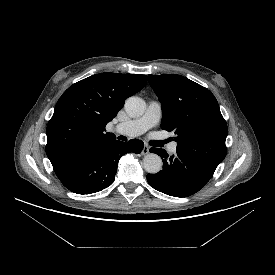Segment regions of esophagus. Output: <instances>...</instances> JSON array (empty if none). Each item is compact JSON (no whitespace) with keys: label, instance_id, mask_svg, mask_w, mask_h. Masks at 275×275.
Instances as JSON below:
<instances>
[{"label":"esophagus","instance_id":"1","mask_svg":"<svg viewBox=\"0 0 275 275\" xmlns=\"http://www.w3.org/2000/svg\"><path fill=\"white\" fill-rule=\"evenodd\" d=\"M149 146L144 145L143 149H142V154L143 155H147L149 153Z\"/></svg>","mask_w":275,"mask_h":275}]
</instances>
